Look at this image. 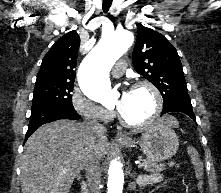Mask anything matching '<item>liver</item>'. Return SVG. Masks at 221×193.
Returning <instances> with one entry per match:
<instances>
[{
  "mask_svg": "<svg viewBox=\"0 0 221 193\" xmlns=\"http://www.w3.org/2000/svg\"><path fill=\"white\" fill-rule=\"evenodd\" d=\"M159 121L170 127L179 126L172 116ZM108 150L107 136L93 134L82 123H47L24 146L20 162L22 193H69L74 178L85 168L86 158L91 155L100 160Z\"/></svg>",
  "mask_w": 221,
  "mask_h": 193,
  "instance_id": "obj_1",
  "label": "liver"
}]
</instances>
